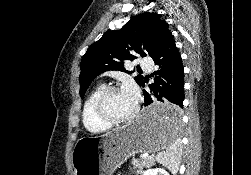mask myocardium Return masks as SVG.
Returning <instances> with one entry per match:
<instances>
[{
    "instance_id": "1",
    "label": "myocardium",
    "mask_w": 251,
    "mask_h": 175,
    "mask_svg": "<svg viewBox=\"0 0 251 175\" xmlns=\"http://www.w3.org/2000/svg\"><path fill=\"white\" fill-rule=\"evenodd\" d=\"M120 90L117 86H107L105 87L97 96L94 104V110L96 115L105 123L110 126H115L121 123H125L131 121L135 116L137 110L134 109L132 113L123 117H113L106 110V100L109 95L114 92Z\"/></svg>"
}]
</instances>
